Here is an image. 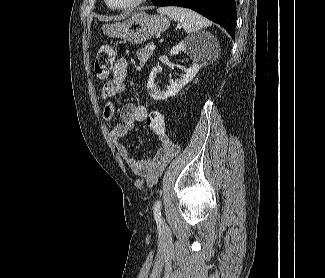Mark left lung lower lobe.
Segmentation results:
<instances>
[{
	"mask_svg": "<svg viewBox=\"0 0 325 278\" xmlns=\"http://www.w3.org/2000/svg\"><path fill=\"white\" fill-rule=\"evenodd\" d=\"M154 6H180L190 8L223 26L235 38V0H153Z\"/></svg>",
	"mask_w": 325,
	"mask_h": 278,
	"instance_id": "1",
	"label": "left lung lower lobe"
}]
</instances>
